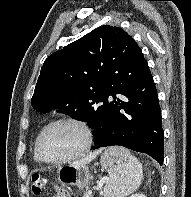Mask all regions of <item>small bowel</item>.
<instances>
[{
    "label": "small bowel",
    "mask_w": 191,
    "mask_h": 197,
    "mask_svg": "<svg viewBox=\"0 0 191 197\" xmlns=\"http://www.w3.org/2000/svg\"><path fill=\"white\" fill-rule=\"evenodd\" d=\"M59 197H67L64 193L61 195V196H59Z\"/></svg>",
    "instance_id": "1"
}]
</instances>
